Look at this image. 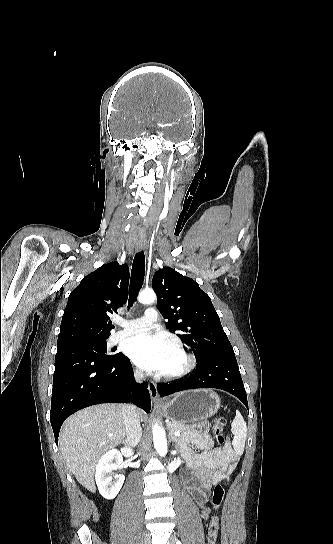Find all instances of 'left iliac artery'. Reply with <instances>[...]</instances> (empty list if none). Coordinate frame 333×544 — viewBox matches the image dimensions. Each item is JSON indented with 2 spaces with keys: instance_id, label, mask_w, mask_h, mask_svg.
Here are the masks:
<instances>
[{
  "instance_id": "1",
  "label": "left iliac artery",
  "mask_w": 333,
  "mask_h": 544,
  "mask_svg": "<svg viewBox=\"0 0 333 544\" xmlns=\"http://www.w3.org/2000/svg\"><path fill=\"white\" fill-rule=\"evenodd\" d=\"M177 544H181L179 540H177Z\"/></svg>"
}]
</instances>
